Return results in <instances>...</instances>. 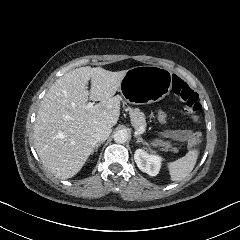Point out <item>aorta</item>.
Masks as SVG:
<instances>
[{
  "label": "aorta",
  "mask_w": 240,
  "mask_h": 240,
  "mask_svg": "<svg viewBox=\"0 0 240 240\" xmlns=\"http://www.w3.org/2000/svg\"><path fill=\"white\" fill-rule=\"evenodd\" d=\"M113 138L116 143L123 144L128 139V133L126 130H118L114 133Z\"/></svg>",
  "instance_id": "aorta-1"
}]
</instances>
